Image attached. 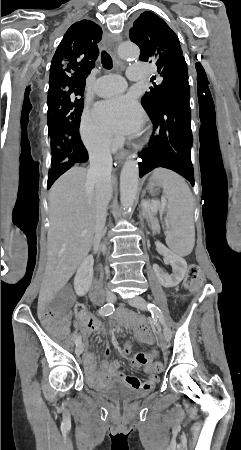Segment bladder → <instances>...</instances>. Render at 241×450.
<instances>
[{
    "mask_svg": "<svg viewBox=\"0 0 241 450\" xmlns=\"http://www.w3.org/2000/svg\"><path fill=\"white\" fill-rule=\"evenodd\" d=\"M103 394L118 402H129L141 397V393L124 383H113L103 389Z\"/></svg>",
    "mask_w": 241,
    "mask_h": 450,
    "instance_id": "1",
    "label": "bladder"
}]
</instances>
